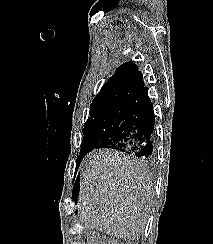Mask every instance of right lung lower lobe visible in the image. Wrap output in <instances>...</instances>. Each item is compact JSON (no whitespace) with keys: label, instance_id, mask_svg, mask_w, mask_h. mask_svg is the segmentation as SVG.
<instances>
[{"label":"right lung lower lobe","instance_id":"right-lung-lower-lobe-1","mask_svg":"<svg viewBox=\"0 0 213 244\" xmlns=\"http://www.w3.org/2000/svg\"><path fill=\"white\" fill-rule=\"evenodd\" d=\"M154 123L153 105L148 96V88L144 87L135 99L131 115L121 123L116 134L98 143L95 149L111 148L136 157H150L153 152ZM87 152L78 157V164ZM78 192V184H75L73 190L75 198Z\"/></svg>","mask_w":213,"mask_h":244}]
</instances>
